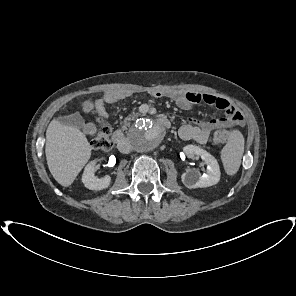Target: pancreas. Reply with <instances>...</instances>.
<instances>
[{
	"label": "pancreas",
	"instance_id": "pancreas-1",
	"mask_svg": "<svg viewBox=\"0 0 296 296\" xmlns=\"http://www.w3.org/2000/svg\"><path fill=\"white\" fill-rule=\"evenodd\" d=\"M131 117H126L123 121V126L122 129H126L127 126H129V121H130Z\"/></svg>",
	"mask_w": 296,
	"mask_h": 296
}]
</instances>
